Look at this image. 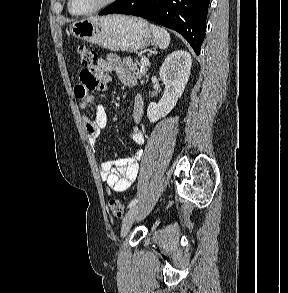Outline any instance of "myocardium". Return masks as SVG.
<instances>
[{
    "mask_svg": "<svg viewBox=\"0 0 288 293\" xmlns=\"http://www.w3.org/2000/svg\"><path fill=\"white\" fill-rule=\"evenodd\" d=\"M72 1L73 0H68V9H69V12L73 15H76V16H85V15H89V14H92V13H95L97 11H100L102 9H104L105 7L111 5L112 3H114L116 0H103L101 3H99L98 5H96L95 7L89 9V10H86V11H83V12H76L72 9Z\"/></svg>",
    "mask_w": 288,
    "mask_h": 293,
    "instance_id": "myocardium-1",
    "label": "myocardium"
}]
</instances>
